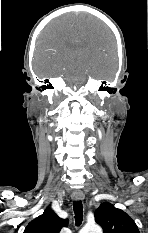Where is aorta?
<instances>
[{
  "label": "aorta",
  "instance_id": "obj_1",
  "mask_svg": "<svg viewBox=\"0 0 148 233\" xmlns=\"http://www.w3.org/2000/svg\"><path fill=\"white\" fill-rule=\"evenodd\" d=\"M80 233H102V229L99 225H85L81 230Z\"/></svg>",
  "mask_w": 148,
  "mask_h": 233
}]
</instances>
